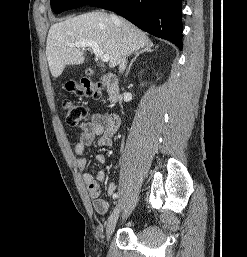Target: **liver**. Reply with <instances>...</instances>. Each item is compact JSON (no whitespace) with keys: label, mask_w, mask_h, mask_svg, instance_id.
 <instances>
[{"label":"liver","mask_w":247,"mask_h":257,"mask_svg":"<svg viewBox=\"0 0 247 257\" xmlns=\"http://www.w3.org/2000/svg\"><path fill=\"white\" fill-rule=\"evenodd\" d=\"M88 39L96 42L110 57L109 66H117L128 54L152 47L149 37L125 19L115 22L103 11L90 12L51 26L46 43V56L53 77H59L67 65L85 61V49L68 43Z\"/></svg>","instance_id":"liver-1"}]
</instances>
